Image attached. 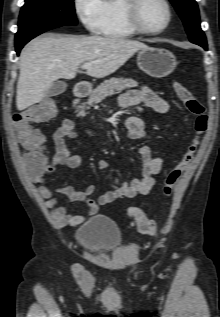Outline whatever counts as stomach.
<instances>
[{
	"label": "stomach",
	"instance_id": "0dacf381",
	"mask_svg": "<svg viewBox=\"0 0 220 317\" xmlns=\"http://www.w3.org/2000/svg\"><path fill=\"white\" fill-rule=\"evenodd\" d=\"M137 65L149 76L162 78L173 72L177 62L175 56L169 50L147 47L139 51Z\"/></svg>",
	"mask_w": 220,
	"mask_h": 317
}]
</instances>
